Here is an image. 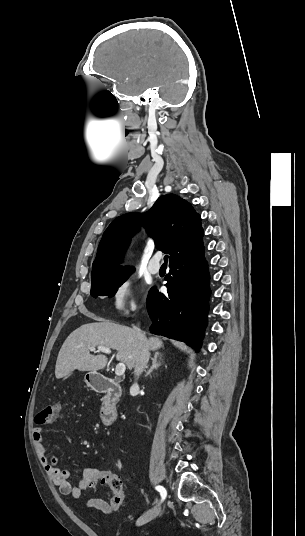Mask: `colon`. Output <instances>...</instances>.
Here are the masks:
<instances>
[{
	"label": "colon",
	"mask_w": 305,
	"mask_h": 536,
	"mask_svg": "<svg viewBox=\"0 0 305 536\" xmlns=\"http://www.w3.org/2000/svg\"><path fill=\"white\" fill-rule=\"evenodd\" d=\"M61 408L62 404L60 402H55L47 405L43 411H36L33 424L35 426H42L48 422H51V420L57 416ZM92 474L96 477L95 480H93V483H95L96 486L111 487L112 496L110 505L113 509H119L124 502L125 496L123 482L120 480L119 475L116 473L108 475V471L106 469L100 471L98 468L93 469ZM89 487H92V484H89Z\"/></svg>",
	"instance_id": "colon-1"
}]
</instances>
